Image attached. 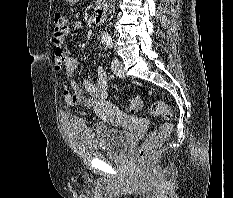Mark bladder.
<instances>
[{"mask_svg": "<svg viewBox=\"0 0 233 198\" xmlns=\"http://www.w3.org/2000/svg\"><path fill=\"white\" fill-rule=\"evenodd\" d=\"M69 137L75 149L85 155L115 158L124 155L131 140L127 130L89 124L77 117L70 118Z\"/></svg>", "mask_w": 233, "mask_h": 198, "instance_id": "31cf9c89", "label": "bladder"}]
</instances>
